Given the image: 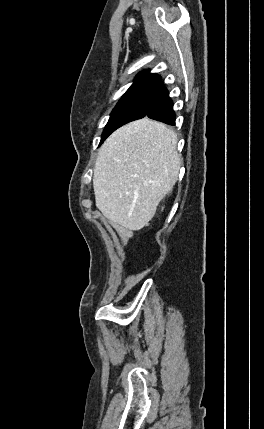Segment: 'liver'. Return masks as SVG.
Returning <instances> with one entry per match:
<instances>
[{
    "label": "liver",
    "instance_id": "obj_1",
    "mask_svg": "<svg viewBox=\"0 0 264 429\" xmlns=\"http://www.w3.org/2000/svg\"><path fill=\"white\" fill-rule=\"evenodd\" d=\"M180 166L172 129L147 117L126 124L98 152L93 175L96 207L111 224L140 230L172 190Z\"/></svg>",
    "mask_w": 264,
    "mask_h": 429
}]
</instances>
